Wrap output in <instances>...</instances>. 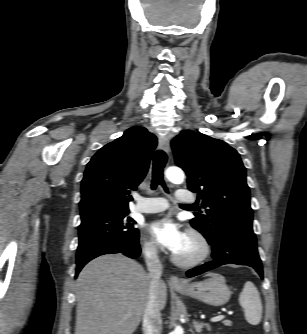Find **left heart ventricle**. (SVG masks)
<instances>
[{
    "label": "left heart ventricle",
    "instance_id": "b2bd125f",
    "mask_svg": "<svg viewBox=\"0 0 307 334\" xmlns=\"http://www.w3.org/2000/svg\"><path fill=\"white\" fill-rule=\"evenodd\" d=\"M197 250L198 246L196 241L193 238L186 236V241L183 247L176 253L181 257L187 258L195 255Z\"/></svg>",
    "mask_w": 307,
    "mask_h": 334
}]
</instances>
